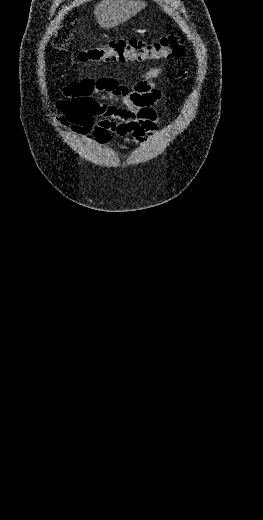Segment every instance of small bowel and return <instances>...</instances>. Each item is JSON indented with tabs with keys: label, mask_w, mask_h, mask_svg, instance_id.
Segmentation results:
<instances>
[{
	"label": "small bowel",
	"mask_w": 263,
	"mask_h": 520,
	"mask_svg": "<svg viewBox=\"0 0 263 520\" xmlns=\"http://www.w3.org/2000/svg\"><path fill=\"white\" fill-rule=\"evenodd\" d=\"M162 71L161 67L146 70L131 87L114 78L72 82L63 89L64 99L56 104L60 113L56 120L73 133L88 135L99 144H110L114 134L124 138L125 144H142L161 123L155 105L162 101L164 93L154 80ZM111 100H118L121 105Z\"/></svg>",
	"instance_id": "small-bowel-1"
}]
</instances>
